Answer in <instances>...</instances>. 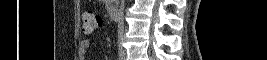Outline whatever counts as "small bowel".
I'll list each match as a JSON object with an SVG mask.
<instances>
[{"label": "small bowel", "instance_id": "small-bowel-1", "mask_svg": "<svg viewBox=\"0 0 267 60\" xmlns=\"http://www.w3.org/2000/svg\"><path fill=\"white\" fill-rule=\"evenodd\" d=\"M82 44H83V48L87 49L89 47L90 43H89V41L85 40V41L82 42Z\"/></svg>", "mask_w": 267, "mask_h": 60}]
</instances>
